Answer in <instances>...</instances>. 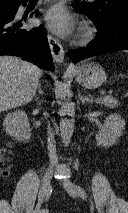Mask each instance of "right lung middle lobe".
Segmentation results:
<instances>
[{"mask_svg":"<svg viewBox=\"0 0 128 213\" xmlns=\"http://www.w3.org/2000/svg\"><path fill=\"white\" fill-rule=\"evenodd\" d=\"M14 8H15V6H13V7H0V12H6V11L12 10Z\"/></svg>","mask_w":128,"mask_h":213,"instance_id":"dd1d6c3e","label":"right lung middle lobe"}]
</instances>
